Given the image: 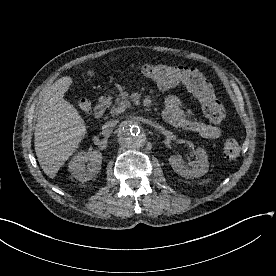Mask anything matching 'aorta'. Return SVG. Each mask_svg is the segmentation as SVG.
<instances>
[{"label": "aorta", "instance_id": "obj_1", "mask_svg": "<svg viewBox=\"0 0 276 276\" xmlns=\"http://www.w3.org/2000/svg\"><path fill=\"white\" fill-rule=\"evenodd\" d=\"M118 135L123 145L129 148H139L146 141L140 125L134 120L122 122L118 128Z\"/></svg>", "mask_w": 276, "mask_h": 276}]
</instances>
